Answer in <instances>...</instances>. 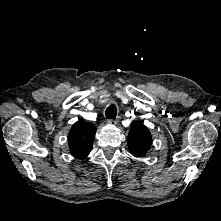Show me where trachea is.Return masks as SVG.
Returning <instances> with one entry per match:
<instances>
[{
	"instance_id": "obj_1",
	"label": "trachea",
	"mask_w": 221,
	"mask_h": 221,
	"mask_svg": "<svg viewBox=\"0 0 221 221\" xmlns=\"http://www.w3.org/2000/svg\"><path fill=\"white\" fill-rule=\"evenodd\" d=\"M116 115H117V108L114 104H112L106 109L105 116L107 119H115Z\"/></svg>"
}]
</instances>
